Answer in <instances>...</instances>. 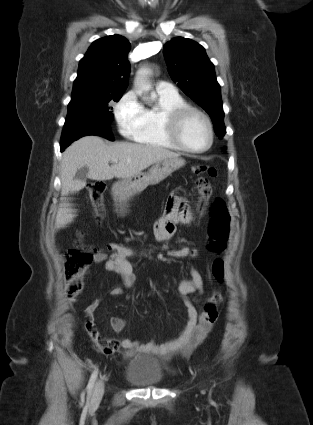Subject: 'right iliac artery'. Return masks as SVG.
Wrapping results in <instances>:
<instances>
[{
    "mask_svg": "<svg viewBox=\"0 0 313 425\" xmlns=\"http://www.w3.org/2000/svg\"><path fill=\"white\" fill-rule=\"evenodd\" d=\"M97 376H98V370L95 369L93 371V373L91 374V377L89 379V382H88V385H87V388H86L87 389L88 399L92 395V390H93V387H94V383H95V381L97 379Z\"/></svg>",
    "mask_w": 313,
    "mask_h": 425,
    "instance_id": "82829eb1",
    "label": "right iliac artery"
}]
</instances>
